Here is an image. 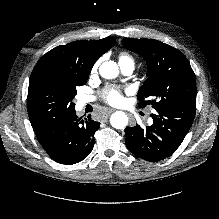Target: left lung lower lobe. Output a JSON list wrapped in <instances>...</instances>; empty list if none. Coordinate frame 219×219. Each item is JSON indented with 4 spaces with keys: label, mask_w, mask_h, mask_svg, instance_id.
<instances>
[{
    "label": "left lung lower lobe",
    "mask_w": 219,
    "mask_h": 219,
    "mask_svg": "<svg viewBox=\"0 0 219 219\" xmlns=\"http://www.w3.org/2000/svg\"><path fill=\"white\" fill-rule=\"evenodd\" d=\"M196 103H185L173 108L156 109L153 124L146 128L139 125L125 129V144L136 156L150 162L172 155L192 126Z\"/></svg>",
    "instance_id": "obj_1"
}]
</instances>
